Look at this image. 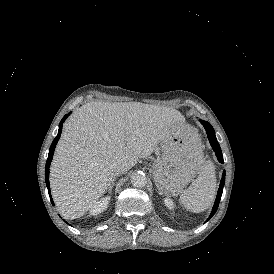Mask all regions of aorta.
<instances>
[{
	"mask_svg": "<svg viewBox=\"0 0 274 274\" xmlns=\"http://www.w3.org/2000/svg\"><path fill=\"white\" fill-rule=\"evenodd\" d=\"M130 179L134 187H144L147 184L146 176L140 173L133 174Z\"/></svg>",
	"mask_w": 274,
	"mask_h": 274,
	"instance_id": "obj_1",
	"label": "aorta"
}]
</instances>
